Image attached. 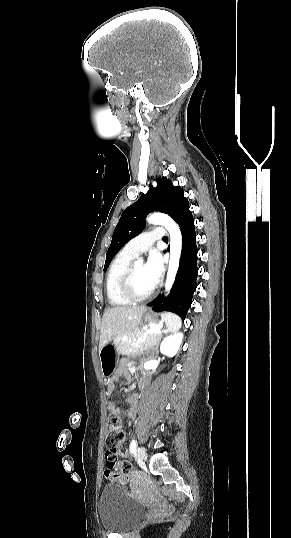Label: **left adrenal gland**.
<instances>
[{"label": "left adrenal gland", "mask_w": 291, "mask_h": 538, "mask_svg": "<svg viewBox=\"0 0 291 538\" xmlns=\"http://www.w3.org/2000/svg\"><path fill=\"white\" fill-rule=\"evenodd\" d=\"M166 332H167L166 329H163L161 331V335H160L158 341L154 344L153 350L155 351V356H157V354H158V345H159V341L161 340L162 333H166Z\"/></svg>", "instance_id": "1"}]
</instances>
